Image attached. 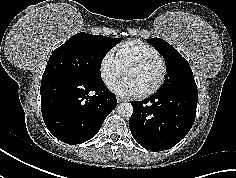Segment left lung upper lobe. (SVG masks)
Segmentation results:
<instances>
[{
    "mask_svg": "<svg viewBox=\"0 0 236 178\" xmlns=\"http://www.w3.org/2000/svg\"><path fill=\"white\" fill-rule=\"evenodd\" d=\"M147 41L154 45L164 57L167 68L165 82L158 92L198 93L194 76L187 60L163 39L151 38Z\"/></svg>",
    "mask_w": 236,
    "mask_h": 178,
    "instance_id": "5c2ea615",
    "label": "left lung upper lobe"
}]
</instances>
